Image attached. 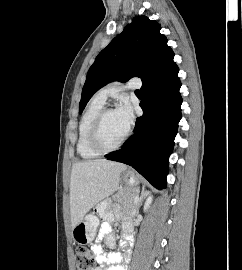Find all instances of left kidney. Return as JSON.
<instances>
[{"mask_svg": "<svg viewBox=\"0 0 242 270\" xmlns=\"http://www.w3.org/2000/svg\"><path fill=\"white\" fill-rule=\"evenodd\" d=\"M152 200H153V197L151 195L148 196V198L144 204V211H147V209L150 207Z\"/></svg>", "mask_w": 242, "mask_h": 270, "instance_id": "left-kidney-1", "label": "left kidney"}]
</instances>
